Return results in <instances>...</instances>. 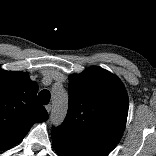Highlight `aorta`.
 <instances>
[{
	"label": "aorta",
	"instance_id": "762f6f07",
	"mask_svg": "<svg viewBox=\"0 0 156 156\" xmlns=\"http://www.w3.org/2000/svg\"><path fill=\"white\" fill-rule=\"evenodd\" d=\"M52 98V111L50 121L53 125H60L67 114L68 110V94L62 88H55L51 94Z\"/></svg>",
	"mask_w": 156,
	"mask_h": 156
}]
</instances>
